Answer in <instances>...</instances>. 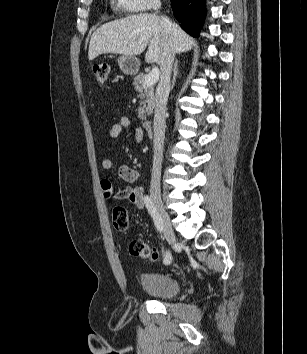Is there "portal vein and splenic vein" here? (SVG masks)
<instances>
[{
	"mask_svg": "<svg viewBox=\"0 0 307 354\" xmlns=\"http://www.w3.org/2000/svg\"><path fill=\"white\" fill-rule=\"evenodd\" d=\"M159 79V70L158 68H153L152 71L147 75L144 81L145 86L154 85Z\"/></svg>",
	"mask_w": 307,
	"mask_h": 354,
	"instance_id": "obj_1",
	"label": "portal vein and splenic vein"
}]
</instances>
